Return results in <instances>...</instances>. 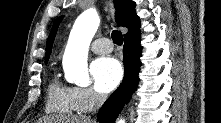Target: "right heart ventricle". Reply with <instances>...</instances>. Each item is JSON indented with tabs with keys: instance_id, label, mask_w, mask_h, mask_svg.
I'll list each match as a JSON object with an SVG mask.
<instances>
[{
	"instance_id": "e07e8e85",
	"label": "right heart ventricle",
	"mask_w": 221,
	"mask_h": 123,
	"mask_svg": "<svg viewBox=\"0 0 221 123\" xmlns=\"http://www.w3.org/2000/svg\"><path fill=\"white\" fill-rule=\"evenodd\" d=\"M46 111L60 115H70L77 111L72 97V88L63 85L56 78L52 79L47 91Z\"/></svg>"
}]
</instances>
